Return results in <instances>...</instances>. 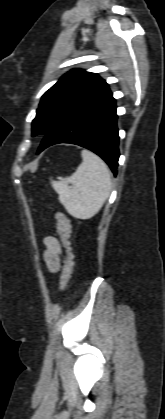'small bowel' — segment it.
I'll list each match as a JSON object with an SVG mask.
<instances>
[{
	"label": "small bowel",
	"instance_id": "1",
	"mask_svg": "<svg viewBox=\"0 0 165 419\" xmlns=\"http://www.w3.org/2000/svg\"><path fill=\"white\" fill-rule=\"evenodd\" d=\"M45 250L43 253L44 264L52 273L61 270L63 255L62 248L57 238L48 236L44 239Z\"/></svg>",
	"mask_w": 165,
	"mask_h": 419
}]
</instances>
